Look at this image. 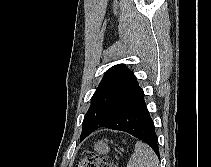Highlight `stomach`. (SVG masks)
Listing matches in <instances>:
<instances>
[{"label": "stomach", "mask_w": 211, "mask_h": 167, "mask_svg": "<svg viewBox=\"0 0 211 167\" xmlns=\"http://www.w3.org/2000/svg\"><path fill=\"white\" fill-rule=\"evenodd\" d=\"M94 149L99 154H106L109 152L110 148L108 144L104 141H99L94 145Z\"/></svg>", "instance_id": "obj_1"}]
</instances>
